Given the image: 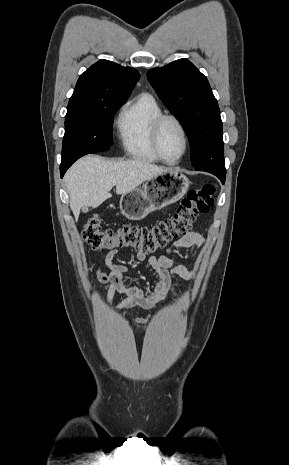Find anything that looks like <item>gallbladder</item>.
Returning a JSON list of instances; mask_svg holds the SVG:
<instances>
[{"label":"gallbladder","instance_id":"1","mask_svg":"<svg viewBox=\"0 0 289 465\" xmlns=\"http://www.w3.org/2000/svg\"><path fill=\"white\" fill-rule=\"evenodd\" d=\"M88 211V208L85 206V207H82V212L86 213Z\"/></svg>","mask_w":289,"mask_h":465}]
</instances>
